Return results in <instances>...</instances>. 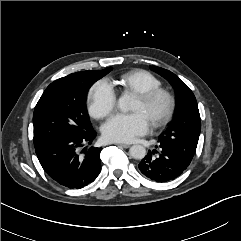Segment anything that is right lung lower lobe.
I'll return each mask as SVG.
<instances>
[{
    "label": "right lung lower lobe",
    "mask_w": 241,
    "mask_h": 241,
    "mask_svg": "<svg viewBox=\"0 0 241 241\" xmlns=\"http://www.w3.org/2000/svg\"><path fill=\"white\" fill-rule=\"evenodd\" d=\"M95 136L92 129L84 135L57 138L36 148L35 152L44 171L54 181L80 189L93 182L101 171V149L83 148L91 144Z\"/></svg>",
    "instance_id": "right-lung-lower-lobe-1"
}]
</instances>
